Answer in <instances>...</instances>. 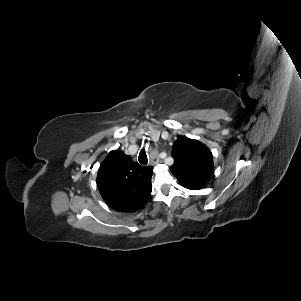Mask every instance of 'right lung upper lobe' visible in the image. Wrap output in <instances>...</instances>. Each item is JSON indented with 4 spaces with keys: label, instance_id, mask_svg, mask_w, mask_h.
Listing matches in <instances>:
<instances>
[{
    "label": "right lung upper lobe",
    "instance_id": "cb5924a9",
    "mask_svg": "<svg viewBox=\"0 0 301 301\" xmlns=\"http://www.w3.org/2000/svg\"><path fill=\"white\" fill-rule=\"evenodd\" d=\"M152 174V166H140L121 150H113L100 165L97 186L111 208L135 212L150 197Z\"/></svg>",
    "mask_w": 301,
    "mask_h": 301
}]
</instances>
